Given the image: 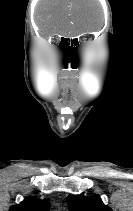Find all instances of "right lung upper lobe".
Masks as SVG:
<instances>
[{
  "instance_id": "1",
  "label": "right lung upper lobe",
  "mask_w": 133,
  "mask_h": 211,
  "mask_svg": "<svg viewBox=\"0 0 133 211\" xmlns=\"http://www.w3.org/2000/svg\"><path fill=\"white\" fill-rule=\"evenodd\" d=\"M9 211H49V201L27 197L20 204L11 206Z\"/></svg>"
}]
</instances>
